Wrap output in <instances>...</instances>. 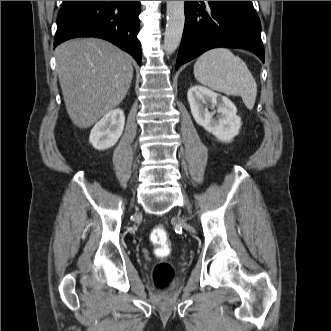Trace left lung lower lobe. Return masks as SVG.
Masks as SVG:
<instances>
[{
	"label": "left lung lower lobe",
	"instance_id": "left-lung-lower-lobe-1",
	"mask_svg": "<svg viewBox=\"0 0 331 331\" xmlns=\"http://www.w3.org/2000/svg\"><path fill=\"white\" fill-rule=\"evenodd\" d=\"M176 69L216 47L246 49L264 62L261 23L252 1H185Z\"/></svg>",
	"mask_w": 331,
	"mask_h": 331
}]
</instances>
